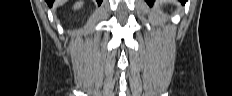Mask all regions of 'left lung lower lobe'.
Instances as JSON below:
<instances>
[{
    "label": "left lung lower lobe",
    "mask_w": 232,
    "mask_h": 96,
    "mask_svg": "<svg viewBox=\"0 0 232 96\" xmlns=\"http://www.w3.org/2000/svg\"><path fill=\"white\" fill-rule=\"evenodd\" d=\"M155 0H146V2L151 6ZM182 3H185L186 0H180Z\"/></svg>",
    "instance_id": "0a47b994"
}]
</instances>
